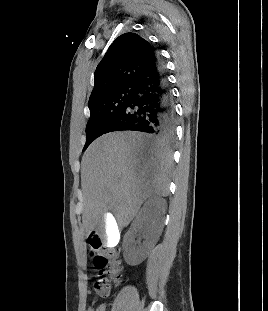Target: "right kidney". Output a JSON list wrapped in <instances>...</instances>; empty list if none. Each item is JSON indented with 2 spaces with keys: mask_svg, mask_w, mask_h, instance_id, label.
I'll list each match as a JSON object with an SVG mask.
<instances>
[{
  "mask_svg": "<svg viewBox=\"0 0 268 311\" xmlns=\"http://www.w3.org/2000/svg\"><path fill=\"white\" fill-rule=\"evenodd\" d=\"M166 207L165 199L154 196L145 202L136 215L123 241V256L127 264H140L155 246L163 230ZM139 237H142V243L136 242Z\"/></svg>",
  "mask_w": 268,
  "mask_h": 311,
  "instance_id": "ca27d5eb",
  "label": "right kidney"
}]
</instances>
